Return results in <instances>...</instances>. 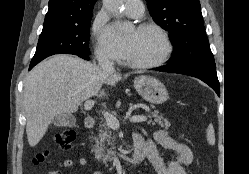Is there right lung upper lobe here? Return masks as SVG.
I'll return each instance as SVG.
<instances>
[{
	"label": "right lung upper lobe",
	"mask_w": 249,
	"mask_h": 174,
	"mask_svg": "<svg viewBox=\"0 0 249 174\" xmlns=\"http://www.w3.org/2000/svg\"><path fill=\"white\" fill-rule=\"evenodd\" d=\"M97 0H49L43 30L68 24H78L92 18Z\"/></svg>",
	"instance_id": "cb5924a9"
}]
</instances>
